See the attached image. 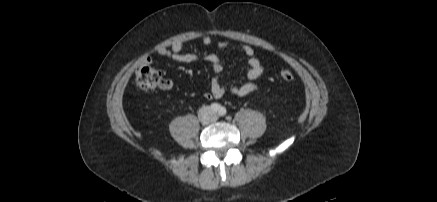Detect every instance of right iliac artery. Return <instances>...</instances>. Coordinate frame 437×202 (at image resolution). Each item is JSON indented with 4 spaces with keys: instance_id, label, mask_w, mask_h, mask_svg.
Segmentation results:
<instances>
[{
    "instance_id": "obj_1",
    "label": "right iliac artery",
    "mask_w": 437,
    "mask_h": 202,
    "mask_svg": "<svg viewBox=\"0 0 437 202\" xmlns=\"http://www.w3.org/2000/svg\"><path fill=\"white\" fill-rule=\"evenodd\" d=\"M210 108L213 112H217L220 110V105L218 103H212Z\"/></svg>"
}]
</instances>
